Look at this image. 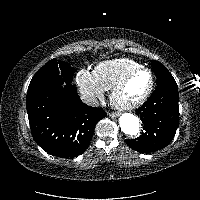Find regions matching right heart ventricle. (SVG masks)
Returning <instances> with one entry per match:
<instances>
[{"label":"right heart ventricle","instance_id":"e07e8e85","mask_svg":"<svg viewBox=\"0 0 200 200\" xmlns=\"http://www.w3.org/2000/svg\"><path fill=\"white\" fill-rule=\"evenodd\" d=\"M140 66L135 60L116 58L99 63L93 72L99 84L105 90H110L129 71Z\"/></svg>","mask_w":200,"mask_h":200}]
</instances>
